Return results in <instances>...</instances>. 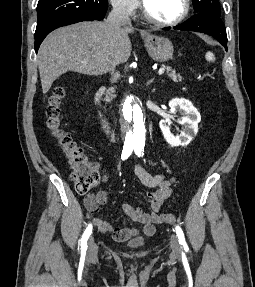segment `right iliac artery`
I'll return each mask as SVG.
<instances>
[{
  "mask_svg": "<svg viewBox=\"0 0 255 287\" xmlns=\"http://www.w3.org/2000/svg\"><path fill=\"white\" fill-rule=\"evenodd\" d=\"M132 151L133 148L131 147L124 148L121 155L122 160L127 159L131 155ZM91 232H92V224H89L81 238V249L83 252L87 250V240Z\"/></svg>",
  "mask_w": 255,
  "mask_h": 287,
  "instance_id": "obj_1",
  "label": "right iliac artery"
}]
</instances>
